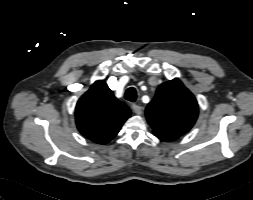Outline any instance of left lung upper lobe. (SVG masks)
Here are the masks:
<instances>
[{"label": "left lung upper lobe", "instance_id": "obj_1", "mask_svg": "<svg viewBox=\"0 0 253 200\" xmlns=\"http://www.w3.org/2000/svg\"><path fill=\"white\" fill-rule=\"evenodd\" d=\"M155 135L180 137L194 125L198 104L179 79L161 84L145 111Z\"/></svg>", "mask_w": 253, "mask_h": 200}]
</instances>
